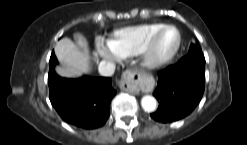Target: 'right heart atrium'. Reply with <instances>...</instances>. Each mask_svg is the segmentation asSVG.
Instances as JSON below:
<instances>
[{"label":"right heart atrium","mask_w":247,"mask_h":145,"mask_svg":"<svg viewBox=\"0 0 247 145\" xmlns=\"http://www.w3.org/2000/svg\"><path fill=\"white\" fill-rule=\"evenodd\" d=\"M96 49L98 54L106 59V60H110V61H118L120 60V56L117 54V52L109 45V43H98L96 45Z\"/></svg>","instance_id":"d8ad5b80"}]
</instances>
